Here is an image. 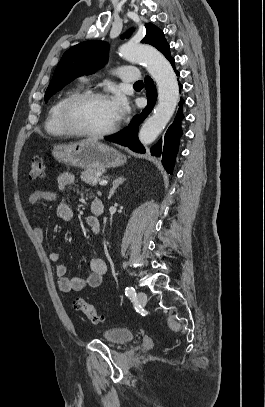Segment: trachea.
Listing matches in <instances>:
<instances>
[{"mask_svg": "<svg viewBox=\"0 0 265 407\" xmlns=\"http://www.w3.org/2000/svg\"><path fill=\"white\" fill-rule=\"evenodd\" d=\"M134 85H143V81H138V82H136Z\"/></svg>", "mask_w": 265, "mask_h": 407, "instance_id": "1", "label": "trachea"}]
</instances>
